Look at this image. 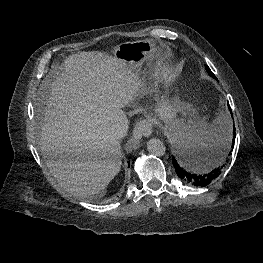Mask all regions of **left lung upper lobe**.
I'll use <instances>...</instances> for the list:
<instances>
[{
    "label": "left lung upper lobe",
    "mask_w": 263,
    "mask_h": 263,
    "mask_svg": "<svg viewBox=\"0 0 263 263\" xmlns=\"http://www.w3.org/2000/svg\"><path fill=\"white\" fill-rule=\"evenodd\" d=\"M205 68H206L207 72L209 73V75L212 76L213 78H215L214 74L211 72L210 68L208 66H205Z\"/></svg>",
    "instance_id": "left-lung-upper-lobe-1"
}]
</instances>
